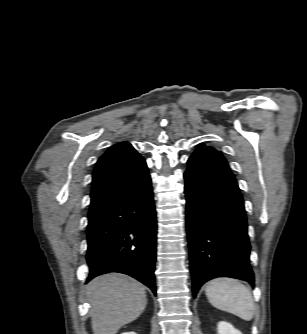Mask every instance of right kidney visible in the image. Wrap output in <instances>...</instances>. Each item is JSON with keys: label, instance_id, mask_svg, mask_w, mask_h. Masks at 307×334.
Returning a JSON list of instances; mask_svg holds the SVG:
<instances>
[{"label": "right kidney", "instance_id": "1", "mask_svg": "<svg viewBox=\"0 0 307 334\" xmlns=\"http://www.w3.org/2000/svg\"><path fill=\"white\" fill-rule=\"evenodd\" d=\"M121 334H136L135 332H124V333H121Z\"/></svg>", "mask_w": 307, "mask_h": 334}]
</instances>
